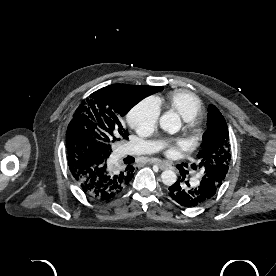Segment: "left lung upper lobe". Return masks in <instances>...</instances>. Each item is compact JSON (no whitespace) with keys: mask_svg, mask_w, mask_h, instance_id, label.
<instances>
[{"mask_svg":"<svg viewBox=\"0 0 276 276\" xmlns=\"http://www.w3.org/2000/svg\"><path fill=\"white\" fill-rule=\"evenodd\" d=\"M208 130L203 135L202 149L197 157L204 171L203 179L213 181L217 189L225 180L230 162L229 133L226 121L214 106L208 108Z\"/></svg>","mask_w":276,"mask_h":276,"instance_id":"5c2ea615","label":"left lung upper lobe"}]
</instances>
